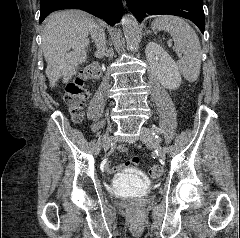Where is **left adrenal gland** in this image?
Returning a JSON list of instances; mask_svg holds the SVG:
<instances>
[{"label": "left adrenal gland", "mask_w": 240, "mask_h": 238, "mask_svg": "<svg viewBox=\"0 0 240 238\" xmlns=\"http://www.w3.org/2000/svg\"><path fill=\"white\" fill-rule=\"evenodd\" d=\"M146 33L148 34V33H150V31H146Z\"/></svg>", "instance_id": "obj_1"}]
</instances>
